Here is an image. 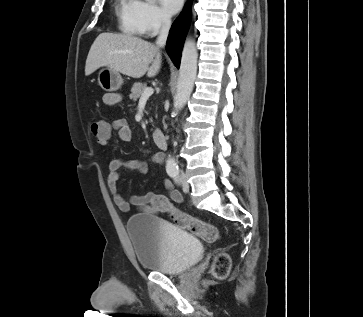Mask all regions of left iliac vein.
Instances as JSON below:
<instances>
[{
  "label": "left iliac vein",
  "instance_id": "1",
  "mask_svg": "<svg viewBox=\"0 0 363 317\" xmlns=\"http://www.w3.org/2000/svg\"><path fill=\"white\" fill-rule=\"evenodd\" d=\"M182 189L185 193H187L189 191V184L186 181L185 177L183 176V180H182Z\"/></svg>",
  "mask_w": 363,
  "mask_h": 317
}]
</instances>
